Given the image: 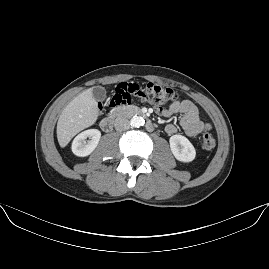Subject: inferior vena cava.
<instances>
[{"label": "inferior vena cava", "mask_w": 269, "mask_h": 269, "mask_svg": "<svg viewBox=\"0 0 269 269\" xmlns=\"http://www.w3.org/2000/svg\"><path fill=\"white\" fill-rule=\"evenodd\" d=\"M129 121L126 118H116L114 121V128L116 131L122 132L129 129Z\"/></svg>", "instance_id": "1"}]
</instances>
